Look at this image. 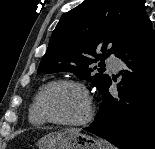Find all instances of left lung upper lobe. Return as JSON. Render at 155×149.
<instances>
[{"mask_svg": "<svg viewBox=\"0 0 155 149\" xmlns=\"http://www.w3.org/2000/svg\"><path fill=\"white\" fill-rule=\"evenodd\" d=\"M145 0H85L62 16L37 70L72 72L101 91L108 75L94 74V64L119 51L148 18ZM101 66V63H99Z\"/></svg>", "mask_w": 155, "mask_h": 149, "instance_id": "left-lung-upper-lobe-1", "label": "left lung upper lobe"}]
</instances>
